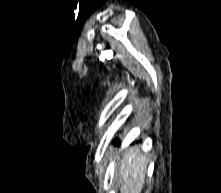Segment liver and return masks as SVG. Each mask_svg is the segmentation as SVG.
Masks as SVG:
<instances>
[{
	"label": "liver",
	"instance_id": "1",
	"mask_svg": "<svg viewBox=\"0 0 221 193\" xmlns=\"http://www.w3.org/2000/svg\"><path fill=\"white\" fill-rule=\"evenodd\" d=\"M148 160L140 153V148L124 153L116 170L120 193H141L145 183Z\"/></svg>",
	"mask_w": 221,
	"mask_h": 193
}]
</instances>
